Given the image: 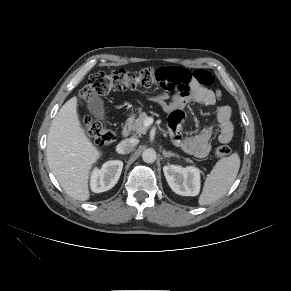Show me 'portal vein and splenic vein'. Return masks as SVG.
I'll return each instance as SVG.
<instances>
[{"mask_svg":"<svg viewBox=\"0 0 291 291\" xmlns=\"http://www.w3.org/2000/svg\"><path fill=\"white\" fill-rule=\"evenodd\" d=\"M151 123H152V122H151L150 119H146L144 125H145V126H149V125H151Z\"/></svg>","mask_w":291,"mask_h":291,"instance_id":"obj_1","label":"portal vein and splenic vein"}]
</instances>
